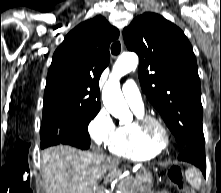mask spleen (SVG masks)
<instances>
[{"label": "spleen", "mask_w": 221, "mask_h": 193, "mask_svg": "<svg viewBox=\"0 0 221 193\" xmlns=\"http://www.w3.org/2000/svg\"><path fill=\"white\" fill-rule=\"evenodd\" d=\"M186 180L195 189H199L201 186V176L196 168L188 169L185 172Z\"/></svg>", "instance_id": "obj_1"}]
</instances>
